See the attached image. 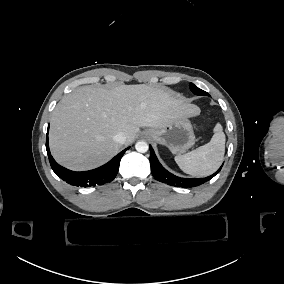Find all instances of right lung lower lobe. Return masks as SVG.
Listing matches in <instances>:
<instances>
[{
	"mask_svg": "<svg viewBox=\"0 0 284 284\" xmlns=\"http://www.w3.org/2000/svg\"><path fill=\"white\" fill-rule=\"evenodd\" d=\"M46 149L50 165L53 171L61 179L74 186L91 187V186H100L109 183L116 177L119 170L120 160L124 155L125 151L129 149V147L121 151L118 155H116L113 159H111L108 163L104 164L103 166L90 171H83V172H75L68 170L60 166L53 159L48 146V131L46 139Z\"/></svg>",
	"mask_w": 284,
	"mask_h": 284,
	"instance_id": "obj_1",
	"label": "right lung lower lobe"
}]
</instances>
